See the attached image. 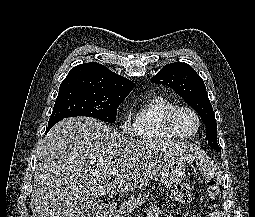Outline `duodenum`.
<instances>
[{
	"mask_svg": "<svg viewBox=\"0 0 255 217\" xmlns=\"http://www.w3.org/2000/svg\"><path fill=\"white\" fill-rule=\"evenodd\" d=\"M112 212V207L108 204H102L99 206L96 212L97 217H110Z\"/></svg>",
	"mask_w": 255,
	"mask_h": 217,
	"instance_id": "obj_1",
	"label": "duodenum"
}]
</instances>
